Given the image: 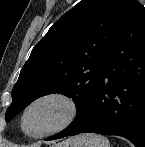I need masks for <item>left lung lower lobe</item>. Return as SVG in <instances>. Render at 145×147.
Segmentation results:
<instances>
[{
  "instance_id": "0a47b994",
  "label": "left lung lower lobe",
  "mask_w": 145,
  "mask_h": 147,
  "mask_svg": "<svg viewBox=\"0 0 145 147\" xmlns=\"http://www.w3.org/2000/svg\"><path fill=\"white\" fill-rule=\"evenodd\" d=\"M80 133L118 135L145 147V8L137 0L129 3L83 119L47 140Z\"/></svg>"
}]
</instances>
